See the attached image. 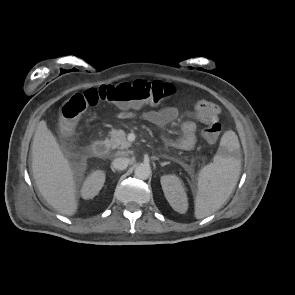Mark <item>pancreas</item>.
Listing matches in <instances>:
<instances>
[{"instance_id": "pancreas-1", "label": "pancreas", "mask_w": 295, "mask_h": 295, "mask_svg": "<svg viewBox=\"0 0 295 295\" xmlns=\"http://www.w3.org/2000/svg\"><path fill=\"white\" fill-rule=\"evenodd\" d=\"M110 144L113 149L127 150L130 143L126 139V134L123 130H112L110 133ZM124 153V151H122Z\"/></svg>"}]
</instances>
